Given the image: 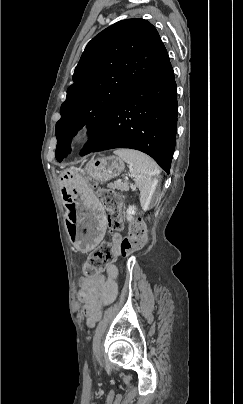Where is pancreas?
<instances>
[{
    "instance_id": "obj_1",
    "label": "pancreas",
    "mask_w": 243,
    "mask_h": 404,
    "mask_svg": "<svg viewBox=\"0 0 243 404\" xmlns=\"http://www.w3.org/2000/svg\"><path fill=\"white\" fill-rule=\"evenodd\" d=\"M110 188L120 190V192H129L128 184H122V182H114V184H110Z\"/></svg>"
}]
</instances>
